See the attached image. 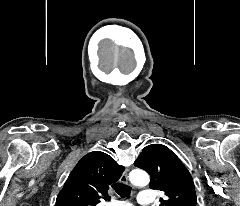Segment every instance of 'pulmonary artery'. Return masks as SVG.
<instances>
[{
    "label": "pulmonary artery",
    "mask_w": 240,
    "mask_h": 206,
    "mask_svg": "<svg viewBox=\"0 0 240 206\" xmlns=\"http://www.w3.org/2000/svg\"><path fill=\"white\" fill-rule=\"evenodd\" d=\"M137 201L140 205L147 206L153 202V194L150 190H143L138 194ZM108 206H132L126 201H114Z\"/></svg>",
    "instance_id": "obj_1"
}]
</instances>
